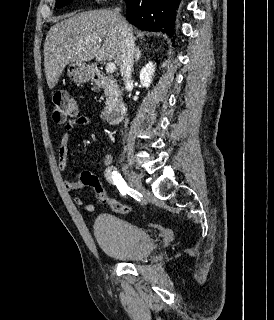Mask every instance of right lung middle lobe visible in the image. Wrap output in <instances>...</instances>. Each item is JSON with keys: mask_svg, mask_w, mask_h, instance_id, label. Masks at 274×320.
Returning a JSON list of instances; mask_svg holds the SVG:
<instances>
[{"mask_svg": "<svg viewBox=\"0 0 274 320\" xmlns=\"http://www.w3.org/2000/svg\"><path fill=\"white\" fill-rule=\"evenodd\" d=\"M72 0H56V7L61 8L67 4H69Z\"/></svg>", "mask_w": 274, "mask_h": 320, "instance_id": "1", "label": "right lung middle lobe"}]
</instances>
